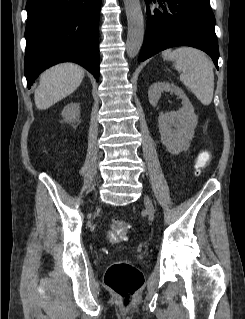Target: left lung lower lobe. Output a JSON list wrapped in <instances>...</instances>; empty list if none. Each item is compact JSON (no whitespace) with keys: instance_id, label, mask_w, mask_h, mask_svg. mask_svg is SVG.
Masks as SVG:
<instances>
[{"instance_id":"left-lung-lower-lobe-1","label":"left lung lower lobe","mask_w":245,"mask_h":319,"mask_svg":"<svg viewBox=\"0 0 245 319\" xmlns=\"http://www.w3.org/2000/svg\"><path fill=\"white\" fill-rule=\"evenodd\" d=\"M159 9L150 11L147 3V27L138 61L174 46H191L205 51L218 69L219 49L215 17L204 0H153Z\"/></svg>"}]
</instances>
